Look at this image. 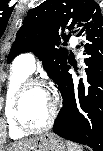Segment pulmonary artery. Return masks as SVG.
Segmentation results:
<instances>
[{"mask_svg":"<svg viewBox=\"0 0 103 151\" xmlns=\"http://www.w3.org/2000/svg\"><path fill=\"white\" fill-rule=\"evenodd\" d=\"M70 44L72 47H75L77 45V39L75 37H71ZM15 64L28 74H31L34 72L36 67V57L31 52L24 53L16 58Z\"/></svg>","mask_w":103,"mask_h":151,"instance_id":"pulmonary-artery-1","label":"pulmonary artery"}]
</instances>
